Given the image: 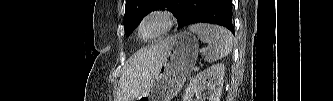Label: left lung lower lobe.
I'll return each instance as SVG.
<instances>
[{"mask_svg":"<svg viewBox=\"0 0 333 101\" xmlns=\"http://www.w3.org/2000/svg\"><path fill=\"white\" fill-rule=\"evenodd\" d=\"M232 0H178L182 15L178 29L189 24L206 22L225 26L234 34Z\"/></svg>","mask_w":333,"mask_h":101,"instance_id":"left-lung-lower-lobe-1","label":"left lung lower lobe"}]
</instances>
